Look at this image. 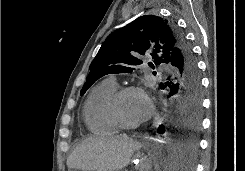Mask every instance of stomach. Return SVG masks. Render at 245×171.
I'll return each instance as SVG.
<instances>
[{
	"label": "stomach",
	"instance_id": "0dacf381",
	"mask_svg": "<svg viewBox=\"0 0 245 171\" xmlns=\"http://www.w3.org/2000/svg\"><path fill=\"white\" fill-rule=\"evenodd\" d=\"M134 161L136 162V167L139 169V171H149L152 167V160L144 156L142 152H138L134 156ZM70 171H76V170H70Z\"/></svg>",
	"mask_w": 245,
	"mask_h": 171
}]
</instances>
